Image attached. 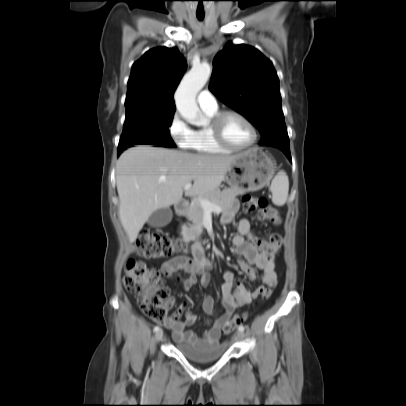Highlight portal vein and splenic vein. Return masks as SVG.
Listing matches in <instances>:
<instances>
[{
    "label": "portal vein and splenic vein",
    "instance_id": "obj_1",
    "mask_svg": "<svg viewBox=\"0 0 406 406\" xmlns=\"http://www.w3.org/2000/svg\"><path fill=\"white\" fill-rule=\"evenodd\" d=\"M191 186H192L191 182L185 184L184 190L190 189ZM200 205L206 211H213V212H216V213H220L222 211L220 207H218L217 205L211 203L210 201H208L206 199H201L200 200Z\"/></svg>",
    "mask_w": 406,
    "mask_h": 406
}]
</instances>
